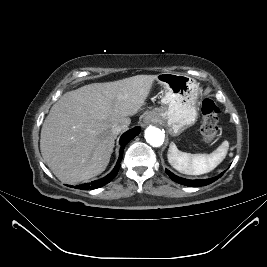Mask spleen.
<instances>
[{"mask_svg": "<svg viewBox=\"0 0 267 267\" xmlns=\"http://www.w3.org/2000/svg\"><path fill=\"white\" fill-rule=\"evenodd\" d=\"M229 142L224 141L210 154H190L178 150L174 143L168 150V161L177 171L188 175H201L214 170L225 158Z\"/></svg>", "mask_w": 267, "mask_h": 267, "instance_id": "obj_1", "label": "spleen"}]
</instances>
